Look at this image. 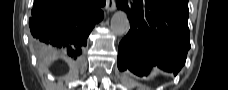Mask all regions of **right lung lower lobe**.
<instances>
[{"label": "right lung lower lobe", "instance_id": "right-lung-lower-lobe-1", "mask_svg": "<svg viewBox=\"0 0 228 90\" xmlns=\"http://www.w3.org/2000/svg\"><path fill=\"white\" fill-rule=\"evenodd\" d=\"M106 0H34L29 28L31 36L64 49L76 59L87 45V37L102 20L100 7Z\"/></svg>", "mask_w": 228, "mask_h": 90}]
</instances>
